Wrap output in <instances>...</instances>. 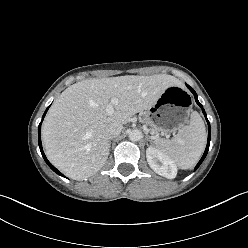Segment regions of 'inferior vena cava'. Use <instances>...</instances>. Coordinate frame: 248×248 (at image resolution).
<instances>
[{
  "instance_id": "1",
  "label": "inferior vena cava",
  "mask_w": 248,
  "mask_h": 248,
  "mask_svg": "<svg viewBox=\"0 0 248 248\" xmlns=\"http://www.w3.org/2000/svg\"><path fill=\"white\" fill-rule=\"evenodd\" d=\"M122 131V125L120 124H112L106 129V136L108 139H112L118 135H120Z\"/></svg>"
}]
</instances>
